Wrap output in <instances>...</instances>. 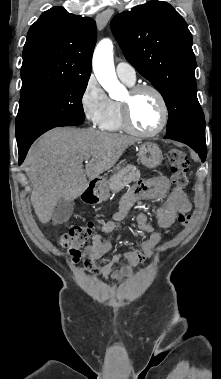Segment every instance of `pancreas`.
Returning <instances> with one entry per match:
<instances>
[{"label":"pancreas","mask_w":221,"mask_h":379,"mask_svg":"<svg viewBox=\"0 0 221 379\" xmlns=\"http://www.w3.org/2000/svg\"><path fill=\"white\" fill-rule=\"evenodd\" d=\"M139 178L140 171L137 170L136 166L128 165L110 178L108 186L112 191H119L131 182L139 180Z\"/></svg>","instance_id":"pancreas-1"}]
</instances>
